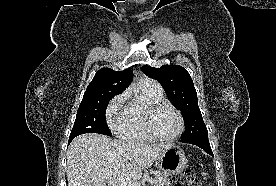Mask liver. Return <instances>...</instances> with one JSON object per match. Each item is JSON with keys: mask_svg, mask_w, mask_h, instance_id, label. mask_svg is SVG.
I'll list each match as a JSON object with an SVG mask.
<instances>
[{"mask_svg": "<svg viewBox=\"0 0 276 186\" xmlns=\"http://www.w3.org/2000/svg\"><path fill=\"white\" fill-rule=\"evenodd\" d=\"M169 146L119 141L95 133L80 135L67 151L68 186H109L115 179L135 182Z\"/></svg>", "mask_w": 276, "mask_h": 186, "instance_id": "obj_1", "label": "liver"}]
</instances>
